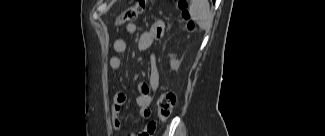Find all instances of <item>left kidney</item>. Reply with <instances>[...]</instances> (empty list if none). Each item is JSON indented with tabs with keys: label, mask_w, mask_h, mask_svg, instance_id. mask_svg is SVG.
Wrapping results in <instances>:
<instances>
[{
	"label": "left kidney",
	"mask_w": 325,
	"mask_h": 136,
	"mask_svg": "<svg viewBox=\"0 0 325 136\" xmlns=\"http://www.w3.org/2000/svg\"><path fill=\"white\" fill-rule=\"evenodd\" d=\"M181 61L177 60V59H172L170 61V66L172 70H178L180 67Z\"/></svg>",
	"instance_id": "5707ae66"
}]
</instances>
